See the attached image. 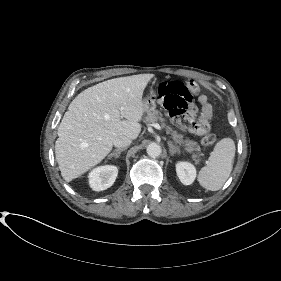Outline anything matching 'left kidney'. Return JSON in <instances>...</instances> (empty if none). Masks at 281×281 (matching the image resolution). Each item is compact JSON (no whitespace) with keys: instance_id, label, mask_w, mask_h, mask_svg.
Listing matches in <instances>:
<instances>
[{"instance_id":"left-kidney-1","label":"left kidney","mask_w":281,"mask_h":281,"mask_svg":"<svg viewBox=\"0 0 281 281\" xmlns=\"http://www.w3.org/2000/svg\"><path fill=\"white\" fill-rule=\"evenodd\" d=\"M176 173L184 185H190L196 178V168L189 162H178L176 164Z\"/></svg>"}]
</instances>
